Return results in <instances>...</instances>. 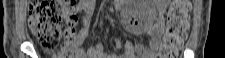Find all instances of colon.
Returning a JSON list of instances; mask_svg holds the SVG:
<instances>
[{
  "mask_svg": "<svg viewBox=\"0 0 225 58\" xmlns=\"http://www.w3.org/2000/svg\"><path fill=\"white\" fill-rule=\"evenodd\" d=\"M190 6L186 0L172 2L166 21V34L158 54L162 58H175L187 37ZM77 8L70 0H31L29 25L40 47L58 58H75ZM66 26V28H64ZM142 56L146 57L145 50Z\"/></svg>",
  "mask_w": 225,
  "mask_h": 58,
  "instance_id": "colon-1",
  "label": "colon"
}]
</instances>
